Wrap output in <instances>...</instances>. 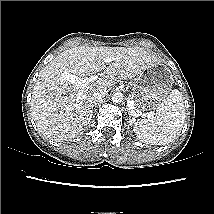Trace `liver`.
Here are the masks:
<instances>
[{"mask_svg":"<svg viewBox=\"0 0 214 214\" xmlns=\"http://www.w3.org/2000/svg\"><path fill=\"white\" fill-rule=\"evenodd\" d=\"M106 57L112 59L108 66ZM158 61L140 47L78 46L63 51L43 68L32 92L31 113L38 130L55 142L77 137L92 118L90 96L95 90H108L118 80L132 79ZM102 70L106 75L85 88L62 76L69 73L87 78Z\"/></svg>","mask_w":214,"mask_h":214,"instance_id":"liver-1","label":"liver"}]
</instances>
